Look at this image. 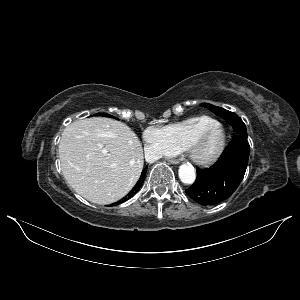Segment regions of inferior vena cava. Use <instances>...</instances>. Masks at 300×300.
Instances as JSON below:
<instances>
[{"instance_id": "1", "label": "inferior vena cava", "mask_w": 300, "mask_h": 300, "mask_svg": "<svg viewBox=\"0 0 300 300\" xmlns=\"http://www.w3.org/2000/svg\"><path fill=\"white\" fill-rule=\"evenodd\" d=\"M145 158L148 162H154V161L158 160L159 158H161V152L160 151L153 152L150 150H146Z\"/></svg>"}]
</instances>
